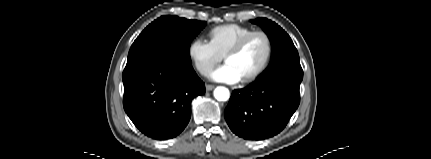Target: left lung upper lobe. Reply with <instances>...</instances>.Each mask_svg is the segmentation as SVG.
Here are the masks:
<instances>
[{
    "label": "left lung upper lobe",
    "mask_w": 431,
    "mask_h": 159,
    "mask_svg": "<svg viewBox=\"0 0 431 159\" xmlns=\"http://www.w3.org/2000/svg\"><path fill=\"white\" fill-rule=\"evenodd\" d=\"M251 22L261 26L272 44L271 62L261 76L279 70L302 71L298 51L290 36L280 26L266 18H257Z\"/></svg>",
    "instance_id": "5c2ea615"
}]
</instances>
